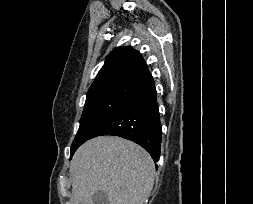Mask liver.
Masks as SVG:
<instances>
[{
  "label": "liver",
  "instance_id": "6515ba94",
  "mask_svg": "<svg viewBox=\"0 0 253 204\" xmlns=\"http://www.w3.org/2000/svg\"><path fill=\"white\" fill-rule=\"evenodd\" d=\"M70 204H93L103 191L109 204H143L150 194L155 165L149 153L118 136H99L85 142L70 164Z\"/></svg>",
  "mask_w": 253,
  "mask_h": 204
}]
</instances>
